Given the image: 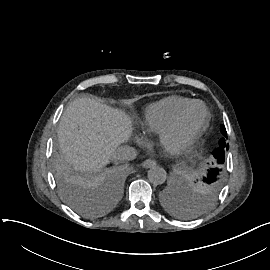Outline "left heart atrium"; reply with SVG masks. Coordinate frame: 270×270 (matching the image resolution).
Instances as JSON below:
<instances>
[{
	"mask_svg": "<svg viewBox=\"0 0 270 270\" xmlns=\"http://www.w3.org/2000/svg\"><path fill=\"white\" fill-rule=\"evenodd\" d=\"M148 153L153 156L159 155L162 153V148H160L159 146H151L148 149Z\"/></svg>",
	"mask_w": 270,
	"mask_h": 270,
	"instance_id": "1",
	"label": "left heart atrium"
}]
</instances>
